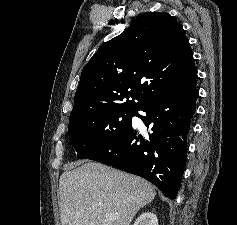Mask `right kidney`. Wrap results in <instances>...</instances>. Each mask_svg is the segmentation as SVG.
<instances>
[{
  "label": "right kidney",
  "mask_w": 237,
  "mask_h": 225,
  "mask_svg": "<svg viewBox=\"0 0 237 225\" xmlns=\"http://www.w3.org/2000/svg\"><path fill=\"white\" fill-rule=\"evenodd\" d=\"M133 225H158L156 214L152 212L142 213Z\"/></svg>",
  "instance_id": "right-kidney-1"
}]
</instances>
